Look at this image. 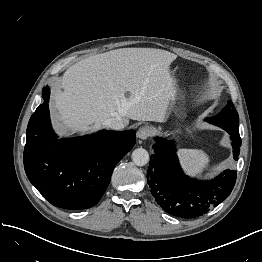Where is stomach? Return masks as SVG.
<instances>
[{"mask_svg":"<svg viewBox=\"0 0 262 262\" xmlns=\"http://www.w3.org/2000/svg\"><path fill=\"white\" fill-rule=\"evenodd\" d=\"M178 98H179V91H178V89H177V91H176V93H175V95H174L173 100H176V99H178ZM176 132L178 133L179 130H177Z\"/></svg>","mask_w":262,"mask_h":262,"instance_id":"stomach-1","label":"stomach"}]
</instances>
